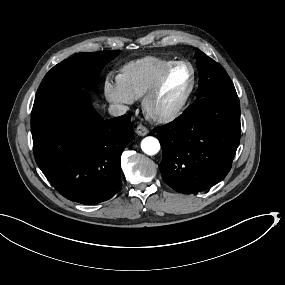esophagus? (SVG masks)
<instances>
[{"label": "esophagus", "mask_w": 285, "mask_h": 285, "mask_svg": "<svg viewBox=\"0 0 285 285\" xmlns=\"http://www.w3.org/2000/svg\"><path fill=\"white\" fill-rule=\"evenodd\" d=\"M135 132L137 133V135H139V136H145V135H147L148 133H149V130L145 127V126H143V125H138L137 127H136V130H135Z\"/></svg>", "instance_id": "34e87169"}]
</instances>
